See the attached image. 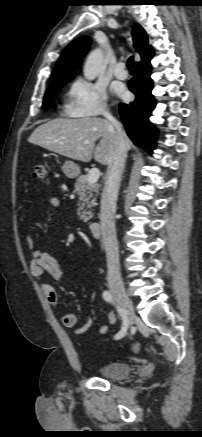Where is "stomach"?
I'll list each match as a JSON object with an SVG mask.
<instances>
[{"label":"stomach","instance_id":"1","mask_svg":"<svg viewBox=\"0 0 202 437\" xmlns=\"http://www.w3.org/2000/svg\"><path fill=\"white\" fill-rule=\"evenodd\" d=\"M62 171L68 178H75L80 173V168L72 161H66L62 166Z\"/></svg>","mask_w":202,"mask_h":437}]
</instances>
